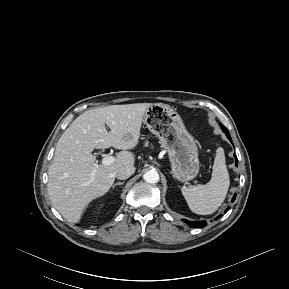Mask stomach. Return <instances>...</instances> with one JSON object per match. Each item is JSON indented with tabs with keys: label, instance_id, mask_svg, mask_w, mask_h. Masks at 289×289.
<instances>
[{
	"label": "stomach",
	"instance_id": "1",
	"mask_svg": "<svg viewBox=\"0 0 289 289\" xmlns=\"http://www.w3.org/2000/svg\"><path fill=\"white\" fill-rule=\"evenodd\" d=\"M144 122L166 150L173 177L181 182L195 178L200 167L198 147L180 115L169 105L155 103L145 111Z\"/></svg>",
	"mask_w": 289,
	"mask_h": 289
}]
</instances>
